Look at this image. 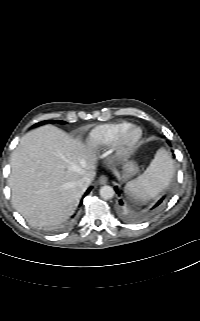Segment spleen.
I'll return each mask as SVG.
<instances>
[{
	"label": "spleen",
	"mask_w": 200,
	"mask_h": 321,
	"mask_svg": "<svg viewBox=\"0 0 200 321\" xmlns=\"http://www.w3.org/2000/svg\"><path fill=\"white\" fill-rule=\"evenodd\" d=\"M174 176V162L171 153L160 148L145 172L128 182L125 191L144 201L156 198L165 190Z\"/></svg>",
	"instance_id": "1"
}]
</instances>
